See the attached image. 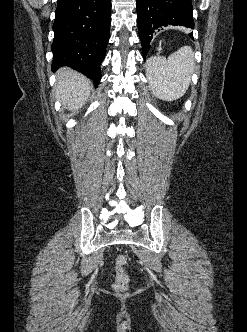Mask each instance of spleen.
<instances>
[{
	"label": "spleen",
	"instance_id": "3e777b00",
	"mask_svg": "<svg viewBox=\"0 0 247 332\" xmlns=\"http://www.w3.org/2000/svg\"><path fill=\"white\" fill-rule=\"evenodd\" d=\"M194 68L190 46L181 47L167 59L159 55L152 57L147 63V77L153 95L164 101L181 98L191 83Z\"/></svg>",
	"mask_w": 247,
	"mask_h": 332
}]
</instances>
